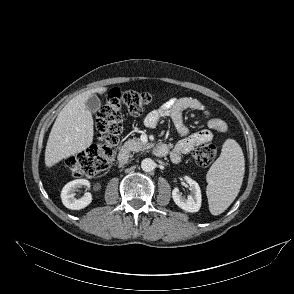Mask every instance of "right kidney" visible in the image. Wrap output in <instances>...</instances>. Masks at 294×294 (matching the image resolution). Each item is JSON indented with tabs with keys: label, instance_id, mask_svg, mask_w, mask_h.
Masks as SVG:
<instances>
[{
	"label": "right kidney",
	"instance_id": "ca27d5eb",
	"mask_svg": "<svg viewBox=\"0 0 294 294\" xmlns=\"http://www.w3.org/2000/svg\"><path fill=\"white\" fill-rule=\"evenodd\" d=\"M90 187V183L86 179H77L67 183L61 191L62 203L71 210H80L87 207L92 202V195L87 192L81 198L75 197V191L81 187Z\"/></svg>",
	"mask_w": 294,
	"mask_h": 294
}]
</instances>
